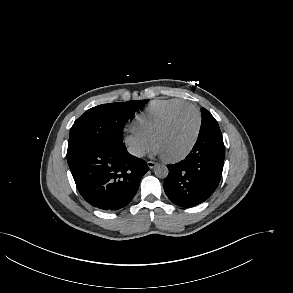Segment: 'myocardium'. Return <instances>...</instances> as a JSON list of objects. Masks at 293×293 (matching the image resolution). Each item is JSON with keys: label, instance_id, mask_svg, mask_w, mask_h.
<instances>
[{"label": "myocardium", "instance_id": "f54148a6", "mask_svg": "<svg viewBox=\"0 0 293 293\" xmlns=\"http://www.w3.org/2000/svg\"><path fill=\"white\" fill-rule=\"evenodd\" d=\"M189 110L194 111V113L196 114V117H197V127H196V132H195L194 138H193L191 144L188 146V148L184 152H182L181 154H179L177 156H173V157L163 156L164 159L166 161H168V162L174 163V162H179V161L185 159L193 151V149L195 148V146H196V144L198 142L200 133H201V128H202V115H201L200 110L196 106L191 105V104L174 110L158 126V128L153 132V134L151 136V142H152V144H155L156 138L170 126V124L173 122V120L179 114H181L183 112H186V111H189Z\"/></svg>", "mask_w": 293, "mask_h": 293}]
</instances>
